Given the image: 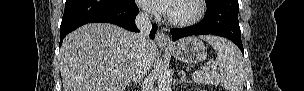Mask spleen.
<instances>
[{
    "label": "spleen",
    "mask_w": 304,
    "mask_h": 91,
    "mask_svg": "<svg viewBox=\"0 0 304 91\" xmlns=\"http://www.w3.org/2000/svg\"><path fill=\"white\" fill-rule=\"evenodd\" d=\"M217 51L215 65L219 71H196L192 78L198 84H213L225 87L227 91H243L244 63L237 47L226 38L218 36L201 37Z\"/></svg>",
    "instance_id": "spleen-1"
}]
</instances>
